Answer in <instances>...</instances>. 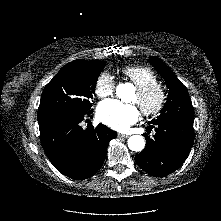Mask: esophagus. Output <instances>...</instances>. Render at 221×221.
Listing matches in <instances>:
<instances>
[{
    "instance_id": "1",
    "label": "esophagus",
    "mask_w": 221,
    "mask_h": 221,
    "mask_svg": "<svg viewBox=\"0 0 221 221\" xmlns=\"http://www.w3.org/2000/svg\"><path fill=\"white\" fill-rule=\"evenodd\" d=\"M118 137L119 138H128L129 135H127V134H118Z\"/></svg>"
}]
</instances>
